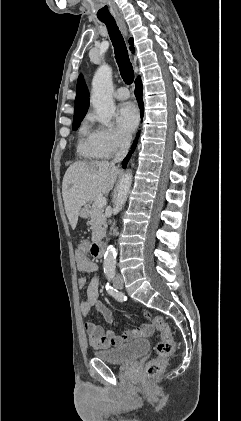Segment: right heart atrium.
Returning a JSON list of instances; mask_svg holds the SVG:
<instances>
[{
  "label": "right heart atrium",
  "instance_id": "right-heart-atrium-1",
  "mask_svg": "<svg viewBox=\"0 0 241 421\" xmlns=\"http://www.w3.org/2000/svg\"><path fill=\"white\" fill-rule=\"evenodd\" d=\"M92 133L95 145L103 158L113 156L129 143V138L115 128L97 126Z\"/></svg>",
  "mask_w": 241,
  "mask_h": 421
}]
</instances>
